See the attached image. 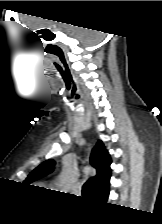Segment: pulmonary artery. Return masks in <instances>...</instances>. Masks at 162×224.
Listing matches in <instances>:
<instances>
[{
  "label": "pulmonary artery",
  "instance_id": "obj_1",
  "mask_svg": "<svg viewBox=\"0 0 162 224\" xmlns=\"http://www.w3.org/2000/svg\"><path fill=\"white\" fill-rule=\"evenodd\" d=\"M80 189H81V185H80V184H77V185H75V186L73 187V191L76 192V193L79 192Z\"/></svg>",
  "mask_w": 162,
  "mask_h": 224
}]
</instances>
